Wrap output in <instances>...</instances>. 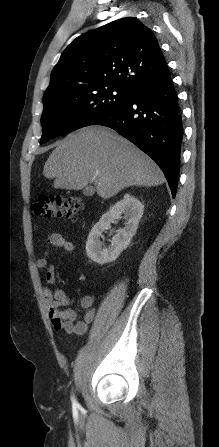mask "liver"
<instances>
[{
	"instance_id": "obj_1",
	"label": "liver",
	"mask_w": 219,
	"mask_h": 447,
	"mask_svg": "<svg viewBox=\"0 0 219 447\" xmlns=\"http://www.w3.org/2000/svg\"><path fill=\"white\" fill-rule=\"evenodd\" d=\"M56 189L80 190L92 180L108 199L130 186H158V165L127 139L102 126L81 128L58 142L43 169Z\"/></svg>"
}]
</instances>
